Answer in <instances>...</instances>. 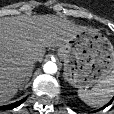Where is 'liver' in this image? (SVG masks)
<instances>
[{
    "label": "liver",
    "mask_w": 114,
    "mask_h": 114,
    "mask_svg": "<svg viewBox=\"0 0 114 114\" xmlns=\"http://www.w3.org/2000/svg\"><path fill=\"white\" fill-rule=\"evenodd\" d=\"M56 16H17L0 19V104L24 84L46 47H61L85 30Z\"/></svg>",
    "instance_id": "liver-1"
}]
</instances>
